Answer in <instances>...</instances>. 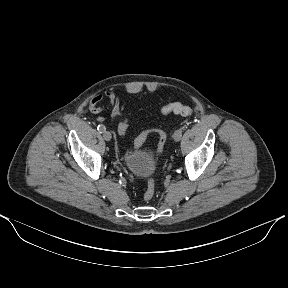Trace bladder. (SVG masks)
Returning a JSON list of instances; mask_svg holds the SVG:
<instances>
[{
  "mask_svg": "<svg viewBox=\"0 0 288 288\" xmlns=\"http://www.w3.org/2000/svg\"><path fill=\"white\" fill-rule=\"evenodd\" d=\"M123 162L127 169L138 178L151 175L156 168V161L153 155L141 149L125 153Z\"/></svg>",
  "mask_w": 288,
  "mask_h": 288,
  "instance_id": "31cf9c89",
  "label": "bladder"
}]
</instances>
